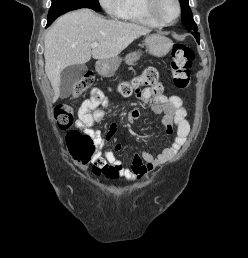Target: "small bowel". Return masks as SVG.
I'll return each mask as SVG.
<instances>
[{
  "label": "small bowel",
  "mask_w": 248,
  "mask_h": 258,
  "mask_svg": "<svg viewBox=\"0 0 248 258\" xmlns=\"http://www.w3.org/2000/svg\"><path fill=\"white\" fill-rule=\"evenodd\" d=\"M161 91V86H156L153 89L144 88L138 92V96L144 104H149L152 96L155 95L152 110L155 113H162L161 121L167 135L173 134L175 130L174 140L169 147L163 149L157 156L147 151L134 154L130 167H124L113 152H106L104 156L100 152L105 140L102 138L99 130L93 129V125L104 119V108L110 105L109 98L100 89L93 88L90 92V97L79 106L75 127L88 133L98 147L99 150L94 157L96 167L99 169L110 168L117 170L118 176L116 178L109 175L107 176L108 178L117 179L121 177L129 182L140 181L152 170L172 160L185 144L190 132V125L186 119L187 112L183 107L182 99L176 95L166 97L162 95ZM140 114V111L135 109L129 113L128 118L130 121H134L140 117ZM116 129L117 124L114 122L110 126L106 137L107 140L111 139ZM119 149L117 148V150Z\"/></svg>",
  "instance_id": "c3829d8e"
}]
</instances>
